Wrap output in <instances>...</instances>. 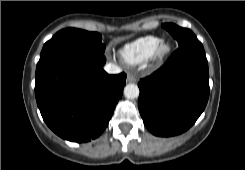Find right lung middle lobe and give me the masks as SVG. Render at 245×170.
Listing matches in <instances>:
<instances>
[{
  "label": "right lung middle lobe",
  "mask_w": 245,
  "mask_h": 170,
  "mask_svg": "<svg viewBox=\"0 0 245 170\" xmlns=\"http://www.w3.org/2000/svg\"><path fill=\"white\" fill-rule=\"evenodd\" d=\"M73 50L103 54L105 51V45L102 44V37L97 32H88L76 28H66L57 32L44 44L37 68L59 53Z\"/></svg>",
  "instance_id": "obj_1"
}]
</instances>
